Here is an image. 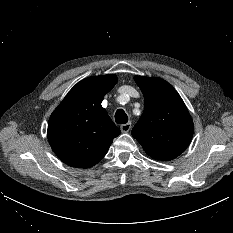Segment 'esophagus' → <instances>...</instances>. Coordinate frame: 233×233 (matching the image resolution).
Returning <instances> with one entry per match:
<instances>
[{
	"label": "esophagus",
	"instance_id": "obj_1",
	"mask_svg": "<svg viewBox=\"0 0 233 233\" xmlns=\"http://www.w3.org/2000/svg\"><path fill=\"white\" fill-rule=\"evenodd\" d=\"M120 129H121V131H122L123 133L129 132L130 129H131V123L128 122V123H126V124H122L121 127H120Z\"/></svg>",
	"mask_w": 233,
	"mask_h": 233
}]
</instances>
